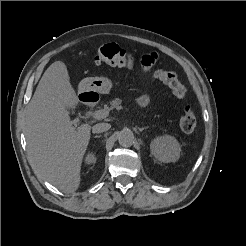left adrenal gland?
I'll return each mask as SVG.
<instances>
[{
  "mask_svg": "<svg viewBox=\"0 0 246 246\" xmlns=\"http://www.w3.org/2000/svg\"><path fill=\"white\" fill-rule=\"evenodd\" d=\"M145 129H147V127H142V128H139V131L141 132V131H143Z\"/></svg>",
  "mask_w": 246,
  "mask_h": 246,
  "instance_id": "1",
  "label": "left adrenal gland"
}]
</instances>
